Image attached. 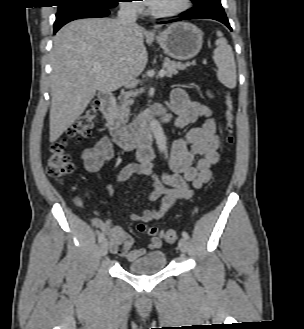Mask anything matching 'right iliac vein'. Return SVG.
<instances>
[{
	"instance_id": "right-iliac-vein-1",
	"label": "right iliac vein",
	"mask_w": 304,
	"mask_h": 329,
	"mask_svg": "<svg viewBox=\"0 0 304 329\" xmlns=\"http://www.w3.org/2000/svg\"><path fill=\"white\" fill-rule=\"evenodd\" d=\"M109 243L104 239L100 245V253L102 256H105L108 253Z\"/></svg>"
}]
</instances>
